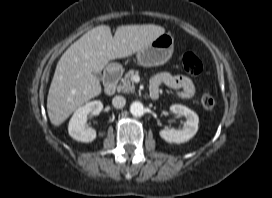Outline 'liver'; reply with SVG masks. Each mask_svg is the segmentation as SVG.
<instances>
[{"mask_svg":"<svg viewBox=\"0 0 272 198\" xmlns=\"http://www.w3.org/2000/svg\"><path fill=\"white\" fill-rule=\"evenodd\" d=\"M165 33L158 25H126L114 37L107 25L87 31L61 56L49 88L47 111L54 126L61 125L78 107L98 96L100 73L110 60L129 57Z\"/></svg>","mask_w":272,"mask_h":198,"instance_id":"1","label":"liver"}]
</instances>
